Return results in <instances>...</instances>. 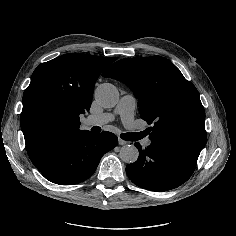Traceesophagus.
Instances as JSON below:
<instances>
[{
	"label": "esophagus",
	"mask_w": 236,
	"mask_h": 236,
	"mask_svg": "<svg viewBox=\"0 0 236 236\" xmlns=\"http://www.w3.org/2000/svg\"><path fill=\"white\" fill-rule=\"evenodd\" d=\"M119 145H125L127 142L124 141L123 139L119 138L118 139Z\"/></svg>",
	"instance_id": "esophagus-1"
}]
</instances>
